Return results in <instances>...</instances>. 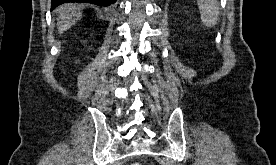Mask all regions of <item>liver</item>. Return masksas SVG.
<instances>
[{
	"instance_id": "liver-1",
	"label": "liver",
	"mask_w": 276,
	"mask_h": 165,
	"mask_svg": "<svg viewBox=\"0 0 276 165\" xmlns=\"http://www.w3.org/2000/svg\"><path fill=\"white\" fill-rule=\"evenodd\" d=\"M55 12L57 14V29L60 34L67 31L81 17L76 5L71 3L60 5Z\"/></svg>"
}]
</instances>
